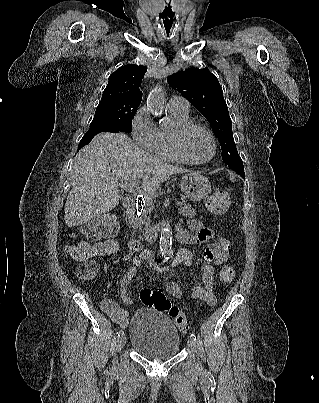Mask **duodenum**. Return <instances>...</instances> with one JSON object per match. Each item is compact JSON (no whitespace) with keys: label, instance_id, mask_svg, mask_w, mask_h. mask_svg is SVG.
Segmentation results:
<instances>
[{"label":"duodenum","instance_id":"410a0bca","mask_svg":"<svg viewBox=\"0 0 319 403\" xmlns=\"http://www.w3.org/2000/svg\"><path fill=\"white\" fill-rule=\"evenodd\" d=\"M124 205L126 208L125 217L126 219H129L134 211L142 205V200L134 193H127L124 198ZM163 227L164 223L162 222L151 225L144 233L145 240H154ZM129 247L131 249H139L141 247V241L137 239H130Z\"/></svg>","mask_w":319,"mask_h":403}]
</instances>
